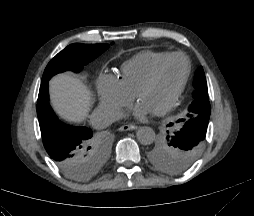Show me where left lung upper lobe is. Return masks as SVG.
Wrapping results in <instances>:
<instances>
[{
  "instance_id": "left-lung-upper-lobe-1",
  "label": "left lung upper lobe",
  "mask_w": 254,
  "mask_h": 216,
  "mask_svg": "<svg viewBox=\"0 0 254 216\" xmlns=\"http://www.w3.org/2000/svg\"><path fill=\"white\" fill-rule=\"evenodd\" d=\"M193 85L194 101L186 117L170 123L168 127L176 126L174 132L167 131L166 139L148 153L150 162L166 173L177 174L190 167L201 152L206 137L210 102L202 67L197 70Z\"/></svg>"
}]
</instances>
